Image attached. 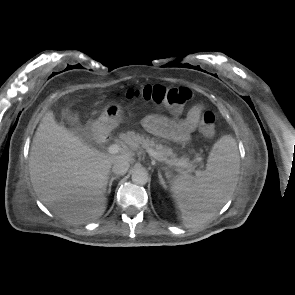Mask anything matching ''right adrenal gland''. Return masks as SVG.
Listing matches in <instances>:
<instances>
[{"instance_id":"obj_1","label":"right adrenal gland","mask_w":295,"mask_h":295,"mask_svg":"<svg viewBox=\"0 0 295 295\" xmlns=\"http://www.w3.org/2000/svg\"><path fill=\"white\" fill-rule=\"evenodd\" d=\"M120 176L119 175H116V176H112L108 183H107V186H108V189H105V193L106 194H110L111 193V186H112V183L115 179L119 178Z\"/></svg>"}]
</instances>
